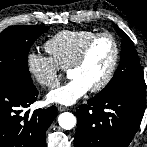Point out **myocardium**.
I'll return each instance as SVG.
<instances>
[{"label": "myocardium", "instance_id": "1", "mask_svg": "<svg viewBox=\"0 0 147 147\" xmlns=\"http://www.w3.org/2000/svg\"><path fill=\"white\" fill-rule=\"evenodd\" d=\"M102 37H108L112 43H113V47H114V56H113V60L112 63L110 65V68L107 72V74L105 75V77L95 86H93L92 88H90L89 90L91 92H100L103 89H105L109 83L112 81L118 64H119V60H120V46H119V42L117 40V38L108 31H104V32H99L96 33L95 35H93L81 48L80 52L78 53L77 57L75 58V60L69 65V67L67 68V74L74 69L79 68L80 66L83 65V63L85 62L88 53L90 51V49L92 48L93 44L100 38Z\"/></svg>", "mask_w": 147, "mask_h": 147}]
</instances>
